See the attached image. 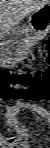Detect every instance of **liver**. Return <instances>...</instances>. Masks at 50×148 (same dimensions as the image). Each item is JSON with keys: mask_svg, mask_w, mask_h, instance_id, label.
<instances>
[{"mask_svg": "<svg viewBox=\"0 0 50 148\" xmlns=\"http://www.w3.org/2000/svg\"><path fill=\"white\" fill-rule=\"evenodd\" d=\"M49 4V0H1L0 29L8 31L26 16Z\"/></svg>", "mask_w": 50, "mask_h": 148, "instance_id": "liver-1", "label": "liver"}]
</instances>
